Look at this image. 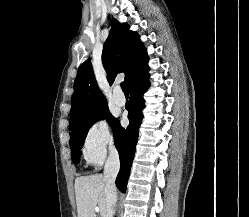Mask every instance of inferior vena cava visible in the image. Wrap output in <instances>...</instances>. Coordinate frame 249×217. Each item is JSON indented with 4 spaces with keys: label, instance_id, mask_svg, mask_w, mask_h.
Here are the masks:
<instances>
[{
    "label": "inferior vena cava",
    "instance_id": "602c4592",
    "mask_svg": "<svg viewBox=\"0 0 249 217\" xmlns=\"http://www.w3.org/2000/svg\"><path fill=\"white\" fill-rule=\"evenodd\" d=\"M120 169V160L116 148L112 145L109 150V157L104 168V179L106 181L105 196L106 205L110 214L113 217L114 206L117 201V193L115 179Z\"/></svg>",
    "mask_w": 249,
    "mask_h": 217
}]
</instances>
